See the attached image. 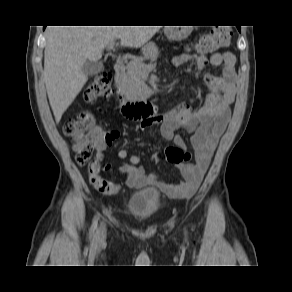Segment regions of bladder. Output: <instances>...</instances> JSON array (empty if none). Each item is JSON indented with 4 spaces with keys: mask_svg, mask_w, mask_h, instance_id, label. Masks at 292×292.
Masks as SVG:
<instances>
[{
    "mask_svg": "<svg viewBox=\"0 0 292 292\" xmlns=\"http://www.w3.org/2000/svg\"><path fill=\"white\" fill-rule=\"evenodd\" d=\"M160 195L156 189H143L134 193L127 203L128 213L137 218L144 219L154 214L160 206Z\"/></svg>",
    "mask_w": 292,
    "mask_h": 292,
    "instance_id": "obj_1",
    "label": "bladder"
}]
</instances>
